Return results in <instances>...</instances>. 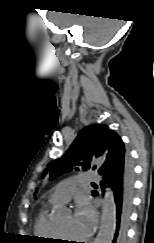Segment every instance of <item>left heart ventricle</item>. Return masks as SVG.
<instances>
[{
    "label": "left heart ventricle",
    "instance_id": "b2bd125f",
    "mask_svg": "<svg viewBox=\"0 0 154 243\" xmlns=\"http://www.w3.org/2000/svg\"><path fill=\"white\" fill-rule=\"evenodd\" d=\"M57 224L59 225L62 233L68 238L78 240L85 237V235L80 231L78 226L73 223V217L71 215L65 216L64 218L60 219L59 221H57Z\"/></svg>",
    "mask_w": 154,
    "mask_h": 243
}]
</instances>
